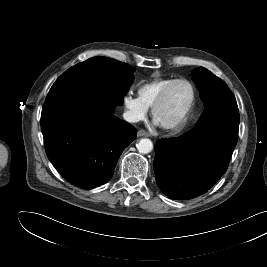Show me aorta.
Here are the masks:
<instances>
[{
    "mask_svg": "<svg viewBox=\"0 0 267 267\" xmlns=\"http://www.w3.org/2000/svg\"><path fill=\"white\" fill-rule=\"evenodd\" d=\"M138 151L142 154H147L152 151L153 143L150 139L143 138L136 145Z\"/></svg>",
    "mask_w": 267,
    "mask_h": 267,
    "instance_id": "aorta-1",
    "label": "aorta"
}]
</instances>
